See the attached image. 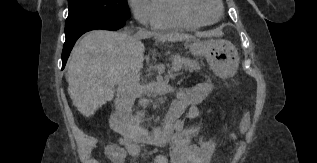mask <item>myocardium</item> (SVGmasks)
Wrapping results in <instances>:
<instances>
[{"instance_id":"1","label":"myocardium","mask_w":317,"mask_h":163,"mask_svg":"<svg viewBox=\"0 0 317 163\" xmlns=\"http://www.w3.org/2000/svg\"><path fill=\"white\" fill-rule=\"evenodd\" d=\"M216 2L219 7V15L214 20H204L192 15L188 10V0H173L172 8L175 15L183 22L196 26H205L218 22L223 16L224 8L222 0H216Z\"/></svg>"}]
</instances>
